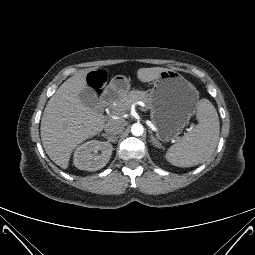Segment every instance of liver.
<instances>
[{
    "instance_id": "6515ba94",
    "label": "liver",
    "mask_w": 255,
    "mask_h": 255,
    "mask_svg": "<svg viewBox=\"0 0 255 255\" xmlns=\"http://www.w3.org/2000/svg\"><path fill=\"white\" fill-rule=\"evenodd\" d=\"M162 67L141 68L137 78L142 82L154 81ZM82 71L67 79L49 99L41 118V140L49 158L67 169L70 156L80 143L100 133L105 125L101 113L83 105L80 93L89 89Z\"/></svg>"
}]
</instances>
